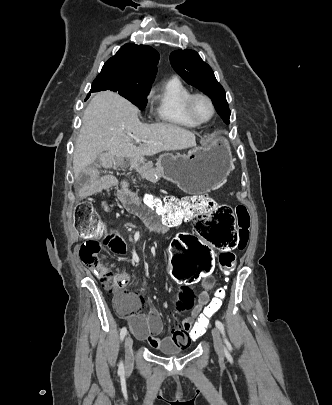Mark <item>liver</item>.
<instances>
[{
    "label": "liver",
    "mask_w": 332,
    "mask_h": 405,
    "mask_svg": "<svg viewBox=\"0 0 332 405\" xmlns=\"http://www.w3.org/2000/svg\"><path fill=\"white\" fill-rule=\"evenodd\" d=\"M138 110L117 93H96L84 111L82 127L73 156L74 176L92 164L97 156L106 167L119 158L153 156L162 151L182 150L196 146L195 135L168 123L142 124ZM146 141L136 147L133 140Z\"/></svg>",
    "instance_id": "6515ba94"
}]
</instances>
